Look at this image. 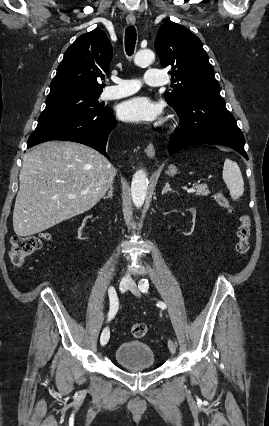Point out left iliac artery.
Masks as SVG:
<instances>
[{
  "label": "left iliac artery",
  "instance_id": "left-iliac-artery-1",
  "mask_svg": "<svg viewBox=\"0 0 269 426\" xmlns=\"http://www.w3.org/2000/svg\"><path fill=\"white\" fill-rule=\"evenodd\" d=\"M148 288H149L148 280L142 279L140 281V284H139L140 291L144 292V293H147L148 292ZM157 306L160 307V308H162V309L166 308V304L164 302H158Z\"/></svg>",
  "mask_w": 269,
  "mask_h": 426
}]
</instances>
